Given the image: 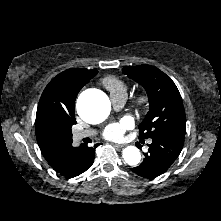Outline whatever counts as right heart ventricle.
<instances>
[{
  "label": "right heart ventricle",
  "mask_w": 221,
  "mask_h": 221,
  "mask_svg": "<svg viewBox=\"0 0 221 221\" xmlns=\"http://www.w3.org/2000/svg\"><path fill=\"white\" fill-rule=\"evenodd\" d=\"M103 85L111 92V94L127 92V85L124 81L116 77H106L102 81Z\"/></svg>",
  "instance_id": "e07e8e85"
}]
</instances>
